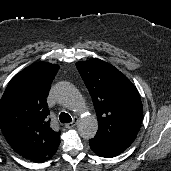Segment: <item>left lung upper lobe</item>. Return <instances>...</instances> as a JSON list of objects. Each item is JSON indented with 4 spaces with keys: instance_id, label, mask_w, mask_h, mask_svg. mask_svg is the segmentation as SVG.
Instances as JSON below:
<instances>
[{
    "instance_id": "left-lung-upper-lobe-1",
    "label": "left lung upper lobe",
    "mask_w": 171,
    "mask_h": 171,
    "mask_svg": "<svg viewBox=\"0 0 171 171\" xmlns=\"http://www.w3.org/2000/svg\"><path fill=\"white\" fill-rule=\"evenodd\" d=\"M98 118L97 138L126 150L135 140L143 119L136 87L113 65L91 59L76 63Z\"/></svg>"
}]
</instances>
